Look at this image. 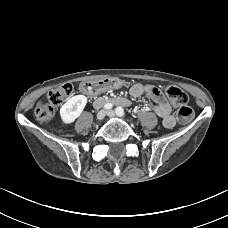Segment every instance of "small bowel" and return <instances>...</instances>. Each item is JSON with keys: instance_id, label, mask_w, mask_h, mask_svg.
Segmentation results:
<instances>
[{"instance_id": "1", "label": "small bowel", "mask_w": 228, "mask_h": 228, "mask_svg": "<svg viewBox=\"0 0 228 228\" xmlns=\"http://www.w3.org/2000/svg\"><path fill=\"white\" fill-rule=\"evenodd\" d=\"M122 86L118 80H102L97 83H85L81 86V91L85 94H96L103 91L117 89ZM132 97H140L142 95L149 96L153 101V109L156 114L161 117L162 124L165 128H172L175 124V119L171 114V104L163 96L161 90L150 84H134L130 90ZM113 104V103H112Z\"/></svg>"}]
</instances>
